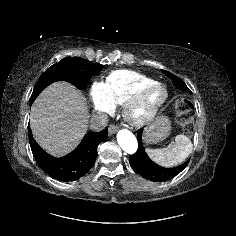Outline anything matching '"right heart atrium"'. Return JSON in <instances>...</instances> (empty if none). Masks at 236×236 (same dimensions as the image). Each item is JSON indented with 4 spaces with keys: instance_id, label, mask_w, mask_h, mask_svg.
<instances>
[{
    "instance_id": "d8ad5b80",
    "label": "right heart atrium",
    "mask_w": 236,
    "mask_h": 236,
    "mask_svg": "<svg viewBox=\"0 0 236 236\" xmlns=\"http://www.w3.org/2000/svg\"><path fill=\"white\" fill-rule=\"evenodd\" d=\"M105 91L106 86L103 81H96L91 86L90 98L95 113H108L113 109V106L106 99Z\"/></svg>"
}]
</instances>
